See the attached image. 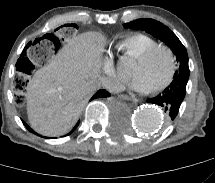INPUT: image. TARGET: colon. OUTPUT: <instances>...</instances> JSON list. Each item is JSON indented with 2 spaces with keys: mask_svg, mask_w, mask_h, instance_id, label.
Wrapping results in <instances>:
<instances>
[{
  "mask_svg": "<svg viewBox=\"0 0 215 183\" xmlns=\"http://www.w3.org/2000/svg\"><path fill=\"white\" fill-rule=\"evenodd\" d=\"M81 37V28L75 22H66L58 26L54 33H43L30 41L24 57L18 63V74L14 79V88L20 93L27 88L29 77L36 65L45 64L62 49V42L75 43ZM20 102L22 96L19 94Z\"/></svg>",
  "mask_w": 215,
  "mask_h": 183,
  "instance_id": "5ec220e1",
  "label": "colon"
}]
</instances>
